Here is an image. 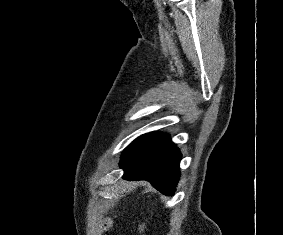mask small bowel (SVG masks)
Listing matches in <instances>:
<instances>
[{"instance_id":"small-bowel-1","label":"small bowel","mask_w":283,"mask_h":235,"mask_svg":"<svg viewBox=\"0 0 283 235\" xmlns=\"http://www.w3.org/2000/svg\"><path fill=\"white\" fill-rule=\"evenodd\" d=\"M109 224H110L109 222H105L104 227L107 228L109 226Z\"/></svg>"}]
</instances>
